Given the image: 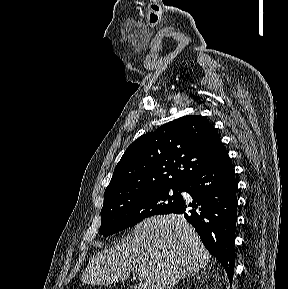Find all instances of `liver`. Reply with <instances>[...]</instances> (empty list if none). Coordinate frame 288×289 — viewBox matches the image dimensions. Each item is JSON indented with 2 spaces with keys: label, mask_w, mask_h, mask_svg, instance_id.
I'll return each instance as SVG.
<instances>
[{
  "label": "liver",
  "mask_w": 288,
  "mask_h": 289,
  "mask_svg": "<svg viewBox=\"0 0 288 289\" xmlns=\"http://www.w3.org/2000/svg\"><path fill=\"white\" fill-rule=\"evenodd\" d=\"M210 257L182 216H153L137 224L126 241L94 255L82 281L110 285L135 271L142 274L138 289H171L181 278L204 268Z\"/></svg>",
  "instance_id": "obj_1"
}]
</instances>
